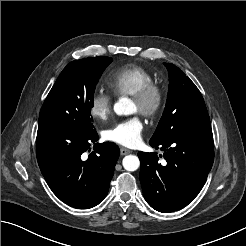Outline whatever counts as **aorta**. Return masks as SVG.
Here are the masks:
<instances>
[{
  "label": "aorta",
  "instance_id": "762f6f07",
  "mask_svg": "<svg viewBox=\"0 0 246 246\" xmlns=\"http://www.w3.org/2000/svg\"><path fill=\"white\" fill-rule=\"evenodd\" d=\"M135 109V104L129 98H121L114 105V111L117 115H131ZM122 164L127 171H136L140 166V161L135 155H127L123 158Z\"/></svg>",
  "mask_w": 246,
  "mask_h": 246
}]
</instances>
